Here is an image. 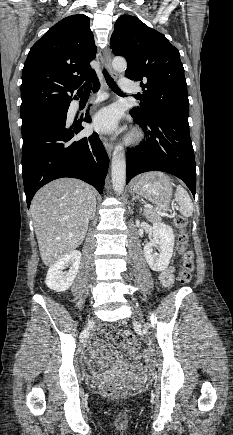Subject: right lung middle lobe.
Listing matches in <instances>:
<instances>
[{"instance_id":"obj_1","label":"right lung middle lobe","mask_w":233,"mask_h":435,"mask_svg":"<svg viewBox=\"0 0 233 435\" xmlns=\"http://www.w3.org/2000/svg\"><path fill=\"white\" fill-rule=\"evenodd\" d=\"M68 107L69 106L54 107L22 116V127H26L51 116L67 115Z\"/></svg>"}]
</instances>
